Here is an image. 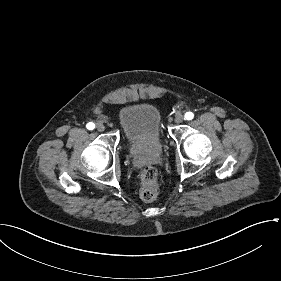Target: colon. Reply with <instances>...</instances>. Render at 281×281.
Returning a JSON list of instances; mask_svg holds the SVG:
<instances>
[{
  "label": "colon",
  "instance_id": "1",
  "mask_svg": "<svg viewBox=\"0 0 281 281\" xmlns=\"http://www.w3.org/2000/svg\"><path fill=\"white\" fill-rule=\"evenodd\" d=\"M141 196L144 200H153L159 192L158 173L153 167H146L142 170L141 176Z\"/></svg>",
  "mask_w": 281,
  "mask_h": 281
}]
</instances>
